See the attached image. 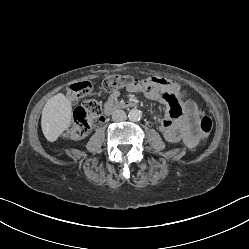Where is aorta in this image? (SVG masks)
Listing matches in <instances>:
<instances>
[{
  "instance_id": "obj_1",
  "label": "aorta",
  "mask_w": 249,
  "mask_h": 249,
  "mask_svg": "<svg viewBox=\"0 0 249 249\" xmlns=\"http://www.w3.org/2000/svg\"><path fill=\"white\" fill-rule=\"evenodd\" d=\"M142 113L140 110L133 108L128 113V118L131 121H139L141 119Z\"/></svg>"
}]
</instances>
